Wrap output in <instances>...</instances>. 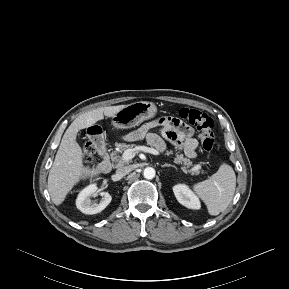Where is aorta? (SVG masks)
<instances>
[{"instance_id":"obj_1","label":"aorta","mask_w":289,"mask_h":289,"mask_svg":"<svg viewBox=\"0 0 289 289\" xmlns=\"http://www.w3.org/2000/svg\"><path fill=\"white\" fill-rule=\"evenodd\" d=\"M155 169L152 167H147L143 171L144 178L146 179H153L155 177Z\"/></svg>"}]
</instances>
